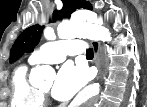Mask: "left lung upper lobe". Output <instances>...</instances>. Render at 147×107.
<instances>
[{
	"label": "left lung upper lobe",
	"mask_w": 147,
	"mask_h": 107,
	"mask_svg": "<svg viewBox=\"0 0 147 107\" xmlns=\"http://www.w3.org/2000/svg\"><path fill=\"white\" fill-rule=\"evenodd\" d=\"M63 8L53 12V19L69 18L77 9L92 10L91 4L86 0H62ZM44 26L33 25L25 29L16 39L10 53V63L19 59L24 52H30L38 44Z\"/></svg>",
	"instance_id": "1"
}]
</instances>
